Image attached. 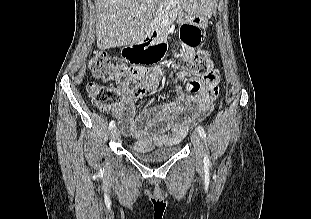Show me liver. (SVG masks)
I'll return each instance as SVG.
<instances>
[{
  "mask_svg": "<svg viewBox=\"0 0 311 219\" xmlns=\"http://www.w3.org/2000/svg\"><path fill=\"white\" fill-rule=\"evenodd\" d=\"M159 0H95L98 10L97 47L101 50L144 40ZM191 13L204 14L211 0H189Z\"/></svg>",
  "mask_w": 311,
  "mask_h": 219,
  "instance_id": "obj_1",
  "label": "liver"
}]
</instances>
